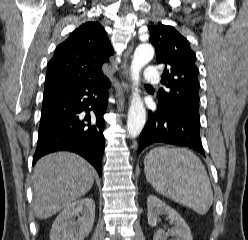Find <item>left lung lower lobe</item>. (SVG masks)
Returning <instances> with one entry per match:
<instances>
[{
  "label": "left lung lower lobe",
  "instance_id": "0a47b994",
  "mask_svg": "<svg viewBox=\"0 0 248 240\" xmlns=\"http://www.w3.org/2000/svg\"><path fill=\"white\" fill-rule=\"evenodd\" d=\"M156 143L188 147L205 156L200 138L199 111L167 109L158 105L154 113H149L148 121L140 134L138 154Z\"/></svg>",
  "mask_w": 248,
  "mask_h": 240
}]
</instances>
